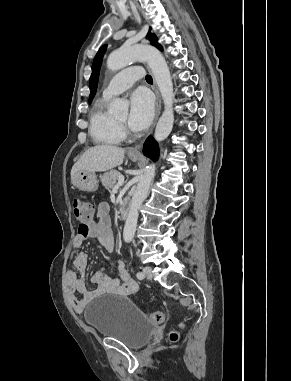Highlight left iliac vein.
<instances>
[{
  "instance_id": "left-iliac-vein-1",
  "label": "left iliac vein",
  "mask_w": 291,
  "mask_h": 381,
  "mask_svg": "<svg viewBox=\"0 0 291 381\" xmlns=\"http://www.w3.org/2000/svg\"><path fill=\"white\" fill-rule=\"evenodd\" d=\"M143 274L147 279H152V269L149 266L143 268Z\"/></svg>"
}]
</instances>
